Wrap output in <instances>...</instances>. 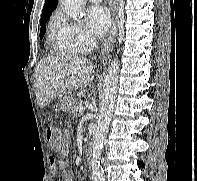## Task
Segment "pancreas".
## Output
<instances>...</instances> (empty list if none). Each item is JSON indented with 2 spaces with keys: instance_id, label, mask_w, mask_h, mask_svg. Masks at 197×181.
Instances as JSON below:
<instances>
[{
  "instance_id": "obj_1",
  "label": "pancreas",
  "mask_w": 197,
  "mask_h": 181,
  "mask_svg": "<svg viewBox=\"0 0 197 181\" xmlns=\"http://www.w3.org/2000/svg\"><path fill=\"white\" fill-rule=\"evenodd\" d=\"M81 106H83V102H82L81 99H75V100H73L72 104L70 105V113L72 115L77 116L78 115V109Z\"/></svg>"
}]
</instances>
